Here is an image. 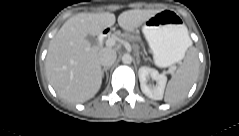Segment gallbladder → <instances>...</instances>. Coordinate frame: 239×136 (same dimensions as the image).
<instances>
[{
	"label": "gallbladder",
	"mask_w": 239,
	"mask_h": 136,
	"mask_svg": "<svg viewBox=\"0 0 239 136\" xmlns=\"http://www.w3.org/2000/svg\"><path fill=\"white\" fill-rule=\"evenodd\" d=\"M86 39H87L92 45H95V44L97 43V39H96L94 36H92V35H88V36L86 37Z\"/></svg>",
	"instance_id": "1"
}]
</instances>
